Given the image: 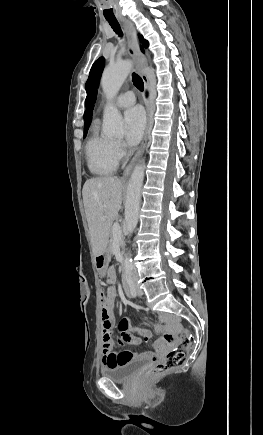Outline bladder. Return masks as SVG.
<instances>
[{
	"label": "bladder",
	"instance_id": "obj_1",
	"mask_svg": "<svg viewBox=\"0 0 263 435\" xmlns=\"http://www.w3.org/2000/svg\"><path fill=\"white\" fill-rule=\"evenodd\" d=\"M146 363V359H136L122 365L103 366L101 367V375L115 382H126L130 380L140 368Z\"/></svg>",
	"mask_w": 263,
	"mask_h": 435
}]
</instances>
